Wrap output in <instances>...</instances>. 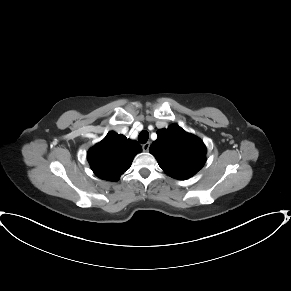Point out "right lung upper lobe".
Returning a JSON list of instances; mask_svg holds the SVG:
<instances>
[{
	"instance_id": "obj_1",
	"label": "right lung upper lobe",
	"mask_w": 291,
	"mask_h": 291,
	"mask_svg": "<svg viewBox=\"0 0 291 291\" xmlns=\"http://www.w3.org/2000/svg\"><path fill=\"white\" fill-rule=\"evenodd\" d=\"M142 151L135 140L111 131L87 154L93 172L100 179L117 181L130 168L134 156Z\"/></svg>"
}]
</instances>
